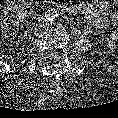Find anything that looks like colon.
I'll return each instance as SVG.
<instances>
[{"instance_id": "obj_1", "label": "colon", "mask_w": 118, "mask_h": 118, "mask_svg": "<svg viewBox=\"0 0 118 118\" xmlns=\"http://www.w3.org/2000/svg\"><path fill=\"white\" fill-rule=\"evenodd\" d=\"M30 11L27 0H6V7L1 19L4 26H9L26 16Z\"/></svg>"}]
</instances>
